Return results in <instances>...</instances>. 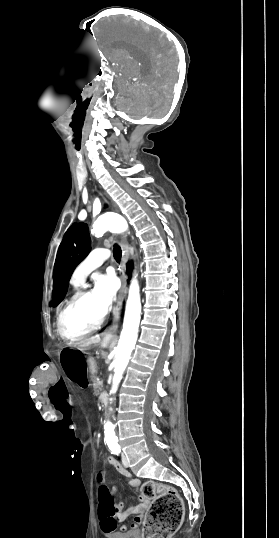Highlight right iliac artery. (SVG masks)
<instances>
[{
    "label": "right iliac artery",
    "instance_id": "1",
    "mask_svg": "<svg viewBox=\"0 0 279 538\" xmlns=\"http://www.w3.org/2000/svg\"><path fill=\"white\" fill-rule=\"evenodd\" d=\"M112 453L118 455V454L120 453V450L114 451V452H112Z\"/></svg>",
    "mask_w": 279,
    "mask_h": 538
}]
</instances>
